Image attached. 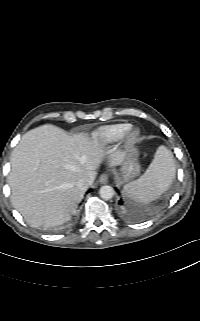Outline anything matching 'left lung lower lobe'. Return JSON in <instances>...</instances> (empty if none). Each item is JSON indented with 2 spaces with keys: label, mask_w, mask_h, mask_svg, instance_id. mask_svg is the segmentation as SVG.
I'll return each mask as SVG.
<instances>
[{
  "label": "left lung lower lobe",
  "mask_w": 200,
  "mask_h": 321,
  "mask_svg": "<svg viewBox=\"0 0 200 321\" xmlns=\"http://www.w3.org/2000/svg\"><path fill=\"white\" fill-rule=\"evenodd\" d=\"M119 205H120V206L123 205V201H122V200L119 201Z\"/></svg>",
  "instance_id": "obj_1"
}]
</instances>
